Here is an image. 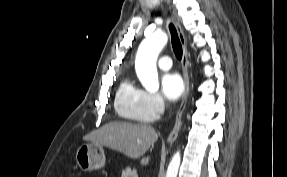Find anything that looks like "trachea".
<instances>
[{
  "instance_id": "1",
  "label": "trachea",
  "mask_w": 287,
  "mask_h": 177,
  "mask_svg": "<svg viewBox=\"0 0 287 177\" xmlns=\"http://www.w3.org/2000/svg\"><path fill=\"white\" fill-rule=\"evenodd\" d=\"M169 30L171 34V43H172L173 51L177 59L180 60L182 59L183 49H182V45H181L177 30L174 27V25L171 23L169 24Z\"/></svg>"
}]
</instances>
